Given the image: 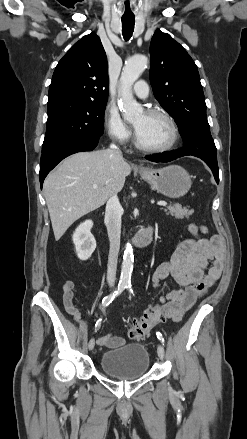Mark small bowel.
<instances>
[{"instance_id": "obj_1", "label": "small bowel", "mask_w": 247, "mask_h": 439, "mask_svg": "<svg viewBox=\"0 0 247 439\" xmlns=\"http://www.w3.org/2000/svg\"><path fill=\"white\" fill-rule=\"evenodd\" d=\"M201 231L206 233L205 227ZM224 266V243L219 236L210 238H185L179 242L171 259L161 263L152 276L155 287L171 277L182 289L173 290L160 298L165 307V318L179 322L195 302L218 281ZM65 309L76 322L83 324L81 312L73 304L74 283L62 286ZM125 343L124 338L108 334L98 338L103 348H116Z\"/></svg>"}]
</instances>
